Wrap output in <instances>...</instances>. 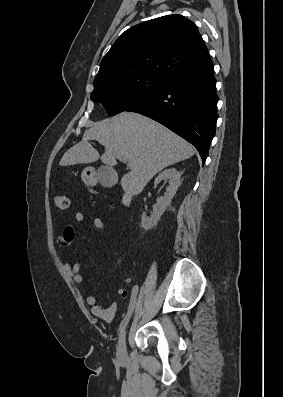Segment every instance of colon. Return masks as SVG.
I'll use <instances>...</instances> for the list:
<instances>
[{"label": "colon", "instance_id": "5ec220e1", "mask_svg": "<svg viewBox=\"0 0 283 397\" xmlns=\"http://www.w3.org/2000/svg\"><path fill=\"white\" fill-rule=\"evenodd\" d=\"M54 206L56 209L64 210L68 208L69 200L64 194H56L53 198Z\"/></svg>", "mask_w": 283, "mask_h": 397}]
</instances>
